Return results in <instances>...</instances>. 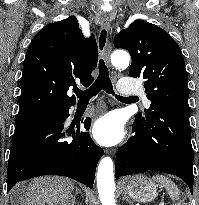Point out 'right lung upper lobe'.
<instances>
[{
  "label": "right lung upper lobe",
  "mask_w": 199,
  "mask_h": 205,
  "mask_svg": "<svg viewBox=\"0 0 199 205\" xmlns=\"http://www.w3.org/2000/svg\"><path fill=\"white\" fill-rule=\"evenodd\" d=\"M94 35L84 37L75 16L48 24L31 41L23 64L17 117L75 104L67 91L76 81L89 86L97 66Z\"/></svg>",
  "instance_id": "obj_1"
}]
</instances>
